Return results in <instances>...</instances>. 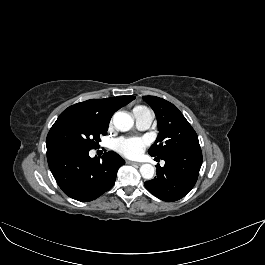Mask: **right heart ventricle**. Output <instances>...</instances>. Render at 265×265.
Here are the masks:
<instances>
[{
  "mask_svg": "<svg viewBox=\"0 0 265 265\" xmlns=\"http://www.w3.org/2000/svg\"><path fill=\"white\" fill-rule=\"evenodd\" d=\"M144 110H148V109H147L146 107H144V106H140V105L134 107L133 110H132L134 117H135L136 115H138L139 113H141L142 111H144Z\"/></svg>",
  "mask_w": 265,
  "mask_h": 265,
  "instance_id": "1",
  "label": "right heart ventricle"
}]
</instances>
